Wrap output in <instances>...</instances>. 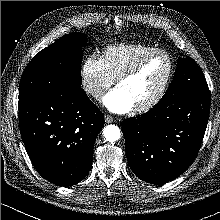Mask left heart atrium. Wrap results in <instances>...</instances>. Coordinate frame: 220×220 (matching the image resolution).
Here are the masks:
<instances>
[{"instance_id":"1","label":"left heart atrium","mask_w":220,"mask_h":220,"mask_svg":"<svg viewBox=\"0 0 220 220\" xmlns=\"http://www.w3.org/2000/svg\"><path fill=\"white\" fill-rule=\"evenodd\" d=\"M103 103L109 111L117 114L127 113L135 107L129 94L119 86L104 97Z\"/></svg>"}]
</instances>
